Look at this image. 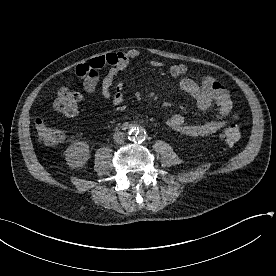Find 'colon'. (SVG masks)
Segmentation results:
<instances>
[{
	"mask_svg": "<svg viewBox=\"0 0 276 276\" xmlns=\"http://www.w3.org/2000/svg\"><path fill=\"white\" fill-rule=\"evenodd\" d=\"M80 94L68 88H62L54 101V109L67 117H73L78 113V104ZM36 129L40 140L47 144L53 145L64 139L62 131L53 128L47 124L42 118L36 120ZM220 138L227 144H235L241 138V132L236 124H227L220 132Z\"/></svg>",
	"mask_w": 276,
	"mask_h": 276,
	"instance_id": "1",
	"label": "colon"
}]
</instances>
